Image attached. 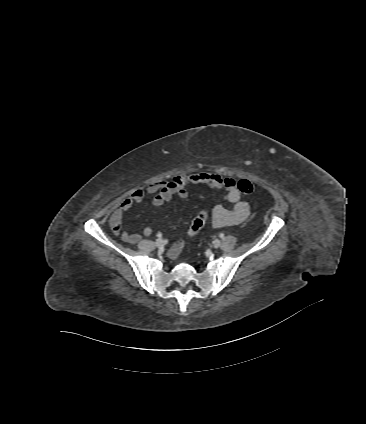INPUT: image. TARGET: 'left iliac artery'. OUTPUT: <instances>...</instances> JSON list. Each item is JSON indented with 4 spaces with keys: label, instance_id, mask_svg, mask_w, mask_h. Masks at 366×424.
Returning <instances> with one entry per match:
<instances>
[{
    "label": "left iliac artery",
    "instance_id": "1",
    "mask_svg": "<svg viewBox=\"0 0 366 424\" xmlns=\"http://www.w3.org/2000/svg\"><path fill=\"white\" fill-rule=\"evenodd\" d=\"M219 237L220 238H224V234L223 233H220Z\"/></svg>",
    "mask_w": 366,
    "mask_h": 424
}]
</instances>
